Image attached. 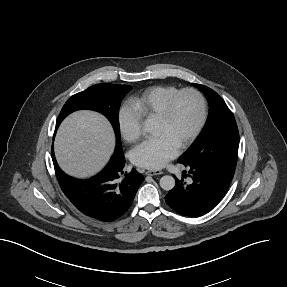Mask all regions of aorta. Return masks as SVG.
Listing matches in <instances>:
<instances>
[{"label": "aorta", "mask_w": 287, "mask_h": 287, "mask_svg": "<svg viewBox=\"0 0 287 287\" xmlns=\"http://www.w3.org/2000/svg\"><path fill=\"white\" fill-rule=\"evenodd\" d=\"M175 186V179L170 175H165L160 179V187L166 191L173 189Z\"/></svg>", "instance_id": "762f6f07"}]
</instances>
